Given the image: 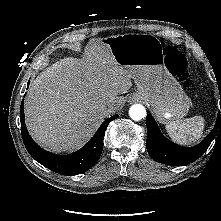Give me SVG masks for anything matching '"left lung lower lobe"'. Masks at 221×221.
Listing matches in <instances>:
<instances>
[{"label": "left lung lower lobe", "instance_id": "0a47b994", "mask_svg": "<svg viewBox=\"0 0 221 221\" xmlns=\"http://www.w3.org/2000/svg\"><path fill=\"white\" fill-rule=\"evenodd\" d=\"M146 125V147L149 155L157 162L173 166L186 165L195 161L207 150L217 132L218 135L221 134L220 113H218L217 122L211 133L194 147H182L166 139L150 113L147 115Z\"/></svg>", "mask_w": 221, "mask_h": 221}]
</instances>
